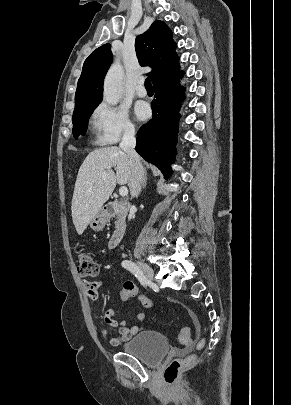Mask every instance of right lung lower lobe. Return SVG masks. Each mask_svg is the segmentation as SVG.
<instances>
[{"label": "right lung lower lobe", "mask_w": 291, "mask_h": 405, "mask_svg": "<svg viewBox=\"0 0 291 405\" xmlns=\"http://www.w3.org/2000/svg\"><path fill=\"white\" fill-rule=\"evenodd\" d=\"M178 72L154 83L155 99L151 103L152 119L142 125L137 133L136 151L149 163L157 166L166 179L172 174L170 164L175 159L179 109L184 89Z\"/></svg>", "instance_id": "98d812e1"}]
</instances>
